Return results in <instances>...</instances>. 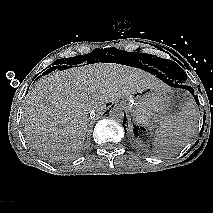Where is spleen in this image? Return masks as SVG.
Masks as SVG:
<instances>
[{
  "mask_svg": "<svg viewBox=\"0 0 213 213\" xmlns=\"http://www.w3.org/2000/svg\"><path fill=\"white\" fill-rule=\"evenodd\" d=\"M196 104L187 101L178 112L167 114L154 134V146L165 151L179 150L187 144L196 127Z\"/></svg>",
  "mask_w": 213,
  "mask_h": 213,
  "instance_id": "spleen-1",
  "label": "spleen"
}]
</instances>
